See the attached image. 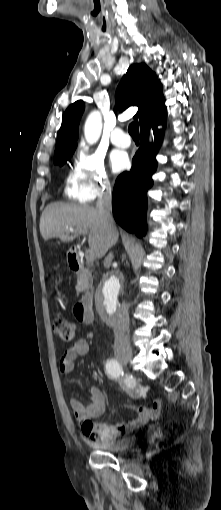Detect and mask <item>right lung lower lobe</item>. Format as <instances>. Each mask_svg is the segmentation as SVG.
I'll list each match as a JSON object with an SVG mask.
<instances>
[{
    "label": "right lung lower lobe",
    "mask_w": 221,
    "mask_h": 510,
    "mask_svg": "<svg viewBox=\"0 0 221 510\" xmlns=\"http://www.w3.org/2000/svg\"><path fill=\"white\" fill-rule=\"evenodd\" d=\"M163 122L141 127L140 148L132 160L131 171L119 175L113 189L112 206L116 222L138 237L146 233L147 190L153 185L151 176L157 168L155 156L161 144V131L157 125ZM150 127L155 145L148 143Z\"/></svg>",
    "instance_id": "98d812e1"
}]
</instances>
